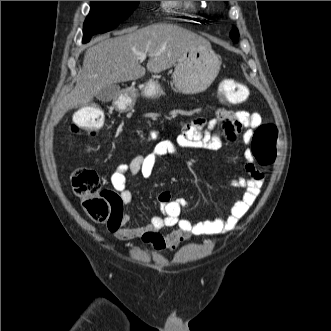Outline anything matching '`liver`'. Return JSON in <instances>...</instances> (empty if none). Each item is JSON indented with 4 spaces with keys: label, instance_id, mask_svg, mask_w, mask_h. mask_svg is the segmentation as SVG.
Returning a JSON list of instances; mask_svg holds the SVG:
<instances>
[{
    "label": "liver",
    "instance_id": "6515ba94",
    "mask_svg": "<svg viewBox=\"0 0 331 331\" xmlns=\"http://www.w3.org/2000/svg\"><path fill=\"white\" fill-rule=\"evenodd\" d=\"M198 44L209 42L179 26L159 23L129 30L90 46L85 52L74 89L52 111L53 126L69 110L91 102L106 85L142 78L146 69L140 64L141 54H156L149 56L146 65L149 72L156 74L171 68L186 51Z\"/></svg>",
    "mask_w": 331,
    "mask_h": 331
}]
</instances>
